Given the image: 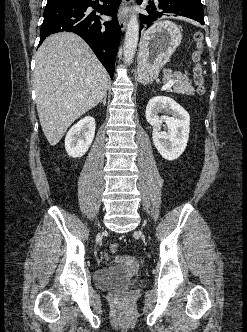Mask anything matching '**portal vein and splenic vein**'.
Returning <instances> with one entry per match:
<instances>
[{"mask_svg":"<svg viewBox=\"0 0 247 332\" xmlns=\"http://www.w3.org/2000/svg\"><path fill=\"white\" fill-rule=\"evenodd\" d=\"M174 84V80L170 79L166 84H164L161 88V90H167L169 88H171Z\"/></svg>","mask_w":247,"mask_h":332,"instance_id":"1","label":"portal vein and splenic vein"}]
</instances>
